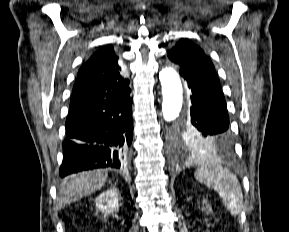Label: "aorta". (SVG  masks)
I'll return each instance as SVG.
<instances>
[{
    "label": "aorta",
    "mask_w": 289,
    "mask_h": 232,
    "mask_svg": "<svg viewBox=\"0 0 289 232\" xmlns=\"http://www.w3.org/2000/svg\"><path fill=\"white\" fill-rule=\"evenodd\" d=\"M162 86V112L165 121L173 122L179 119L183 107V88L179 74L166 67L159 72ZM184 123L186 120H182Z\"/></svg>",
    "instance_id": "762f6f07"
}]
</instances>
